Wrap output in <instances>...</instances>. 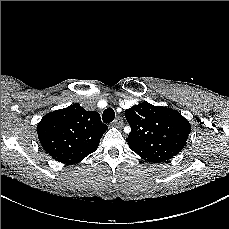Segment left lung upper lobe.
Instances as JSON below:
<instances>
[{"mask_svg":"<svg viewBox=\"0 0 229 229\" xmlns=\"http://www.w3.org/2000/svg\"><path fill=\"white\" fill-rule=\"evenodd\" d=\"M131 126L129 148L149 162L160 163L176 156L186 145L191 125L181 113L143 102L125 110Z\"/></svg>","mask_w":229,"mask_h":229,"instance_id":"1","label":"left lung upper lobe"}]
</instances>
